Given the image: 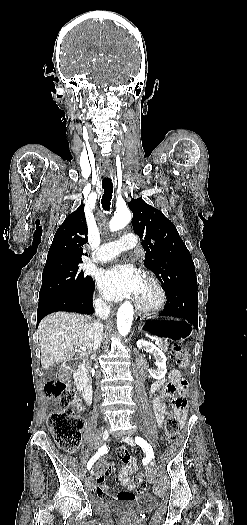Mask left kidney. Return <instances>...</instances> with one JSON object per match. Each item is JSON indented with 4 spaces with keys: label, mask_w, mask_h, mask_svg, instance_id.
<instances>
[{
    "label": "left kidney",
    "mask_w": 247,
    "mask_h": 525,
    "mask_svg": "<svg viewBox=\"0 0 247 525\" xmlns=\"http://www.w3.org/2000/svg\"><path fill=\"white\" fill-rule=\"evenodd\" d=\"M138 349H146L148 353H152L156 359V365L158 367V371L156 373H161V377H165L167 373V367H166V357L156 345H153V343H149V341H143V339H139L136 343ZM150 375L154 377L155 373L154 371H151Z\"/></svg>",
    "instance_id": "left-kidney-1"
}]
</instances>
